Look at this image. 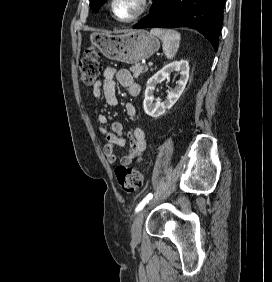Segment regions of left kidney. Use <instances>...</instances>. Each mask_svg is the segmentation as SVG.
I'll return each mask as SVG.
<instances>
[{
    "label": "left kidney",
    "instance_id": "1",
    "mask_svg": "<svg viewBox=\"0 0 272 282\" xmlns=\"http://www.w3.org/2000/svg\"><path fill=\"white\" fill-rule=\"evenodd\" d=\"M180 73V79L174 89L168 90L167 99L164 102L154 101V90L158 83L168 79L173 72ZM189 78V63L187 60L174 61L165 65L161 70L155 73L146 84L145 98L143 101L144 111L147 115L158 118L163 115L166 110L170 109L180 98Z\"/></svg>",
    "mask_w": 272,
    "mask_h": 282
}]
</instances>
